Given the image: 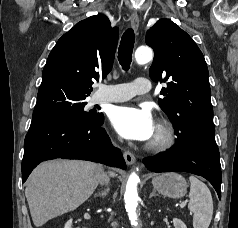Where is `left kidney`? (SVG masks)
<instances>
[{
  "instance_id": "5707ae66",
  "label": "left kidney",
  "mask_w": 238,
  "mask_h": 228,
  "mask_svg": "<svg viewBox=\"0 0 238 228\" xmlns=\"http://www.w3.org/2000/svg\"><path fill=\"white\" fill-rule=\"evenodd\" d=\"M173 224H174V228H187L185 223L181 219H178V218L173 219Z\"/></svg>"
}]
</instances>
